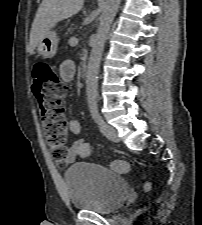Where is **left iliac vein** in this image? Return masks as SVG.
<instances>
[{"mask_svg":"<svg viewBox=\"0 0 202 225\" xmlns=\"http://www.w3.org/2000/svg\"><path fill=\"white\" fill-rule=\"evenodd\" d=\"M99 128H100V131L102 132V134L105 137H107L109 140H111L113 142L119 141L117 130L114 127L104 123V124H101L99 126Z\"/></svg>","mask_w":202,"mask_h":225,"instance_id":"1","label":"left iliac vein"}]
</instances>
